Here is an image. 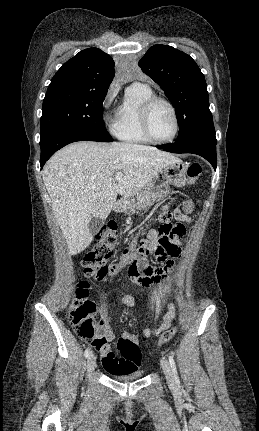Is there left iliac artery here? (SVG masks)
Returning <instances> with one entry per match:
<instances>
[{
	"label": "left iliac artery",
	"instance_id": "44dca946",
	"mask_svg": "<svg viewBox=\"0 0 259 431\" xmlns=\"http://www.w3.org/2000/svg\"><path fill=\"white\" fill-rule=\"evenodd\" d=\"M169 363H170V366H171L172 371L174 373L175 381H176V383H179V378H178V374H177L175 361L173 359V356H171V355H169Z\"/></svg>",
	"mask_w": 259,
	"mask_h": 431
}]
</instances>
